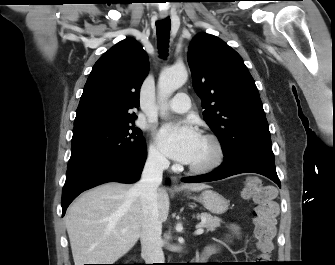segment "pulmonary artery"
<instances>
[{
  "label": "pulmonary artery",
  "mask_w": 335,
  "mask_h": 265,
  "mask_svg": "<svg viewBox=\"0 0 335 265\" xmlns=\"http://www.w3.org/2000/svg\"><path fill=\"white\" fill-rule=\"evenodd\" d=\"M191 107L190 97L186 93H178L168 104L167 109L174 113H185Z\"/></svg>",
  "instance_id": "pulmonary-artery-1"
}]
</instances>
